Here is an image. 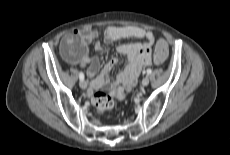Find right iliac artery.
Segmentation results:
<instances>
[{
    "instance_id": "obj_1",
    "label": "right iliac artery",
    "mask_w": 230,
    "mask_h": 155,
    "mask_svg": "<svg viewBox=\"0 0 230 155\" xmlns=\"http://www.w3.org/2000/svg\"><path fill=\"white\" fill-rule=\"evenodd\" d=\"M80 80H84V74L82 72L79 73Z\"/></svg>"
}]
</instances>
